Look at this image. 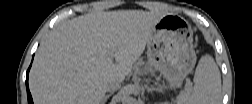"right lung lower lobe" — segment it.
Returning a JSON list of instances; mask_svg holds the SVG:
<instances>
[{
    "instance_id": "right-lung-lower-lobe-1",
    "label": "right lung lower lobe",
    "mask_w": 252,
    "mask_h": 104,
    "mask_svg": "<svg viewBox=\"0 0 252 104\" xmlns=\"http://www.w3.org/2000/svg\"><path fill=\"white\" fill-rule=\"evenodd\" d=\"M30 67H31V65H30ZM30 67H29V69L27 71L26 87H27L28 103L33 104L32 97H31V94H30V91H29V88H28V73H29Z\"/></svg>"
}]
</instances>
